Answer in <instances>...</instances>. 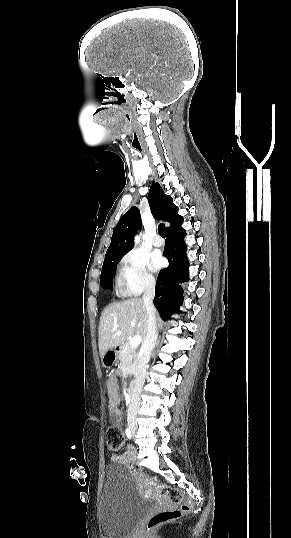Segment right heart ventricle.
Returning <instances> with one entry per match:
<instances>
[{
	"label": "right heart ventricle",
	"mask_w": 291,
	"mask_h": 538,
	"mask_svg": "<svg viewBox=\"0 0 291 538\" xmlns=\"http://www.w3.org/2000/svg\"><path fill=\"white\" fill-rule=\"evenodd\" d=\"M116 286H117V290L120 294H126V290H124L123 288V281H122V277L121 275L119 274L116 278Z\"/></svg>",
	"instance_id": "right-heart-ventricle-1"
}]
</instances>
